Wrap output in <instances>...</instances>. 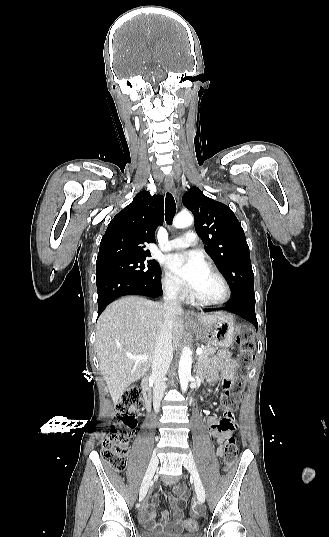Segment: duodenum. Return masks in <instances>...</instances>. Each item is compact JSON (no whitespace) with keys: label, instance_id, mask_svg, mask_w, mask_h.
<instances>
[{"label":"duodenum","instance_id":"duodenum-1","mask_svg":"<svg viewBox=\"0 0 329 537\" xmlns=\"http://www.w3.org/2000/svg\"><path fill=\"white\" fill-rule=\"evenodd\" d=\"M143 397L146 410L149 412L151 409L152 393L149 378H144L142 382Z\"/></svg>","mask_w":329,"mask_h":537}]
</instances>
